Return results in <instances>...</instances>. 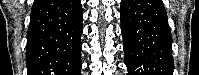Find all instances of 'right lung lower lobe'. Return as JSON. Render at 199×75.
I'll return each instance as SVG.
<instances>
[{
    "label": "right lung lower lobe",
    "mask_w": 199,
    "mask_h": 75,
    "mask_svg": "<svg viewBox=\"0 0 199 75\" xmlns=\"http://www.w3.org/2000/svg\"><path fill=\"white\" fill-rule=\"evenodd\" d=\"M80 0H35L27 31L28 75H80Z\"/></svg>",
    "instance_id": "98d812e1"
}]
</instances>
